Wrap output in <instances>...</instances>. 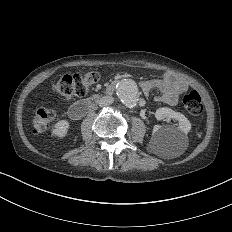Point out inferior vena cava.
I'll use <instances>...</instances> for the list:
<instances>
[{
	"instance_id": "602c4592",
	"label": "inferior vena cava",
	"mask_w": 232,
	"mask_h": 232,
	"mask_svg": "<svg viewBox=\"0 0 232 232\" xmlns=\"http://www.w3.org/2000/svg\"><path fill=\"white\" fill-rule=\"evenodd\" d=\"M113 102V98L111 96H105L100 99L101 106H107Z\"/></svg>"
}]
</instances>
